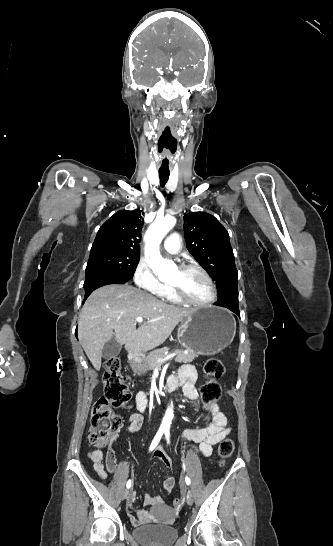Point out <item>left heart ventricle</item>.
I'll list each match as a JSON object with an SVG mask.
<instances>
[{
  "mask_svg": "<svg viewBox=\"0 0 333 546\" xmlns=\"http://www.w3.org/2000/svg\"><path fill=\"white\" fill-rule=\"evenodd\" d=\"M172 285L178 286L182 292L194 301H206L211 297V289L204 276L196 270H177L171 281Z\"/></svg>",
  "mask_w": 333,
  "mask_h": 546,
  "instance_id": "b2bd125f",
  "label": "left heart ventricle"
}]
</instances>
